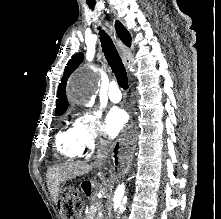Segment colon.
I'll return each mask as SVG.
<instances>
[{
    "instance_id": "5ec220e1",
    "label": "colon",
    "mask_w": 221,
    "mask_h": 219,
    "mask_svg": "<svg viewBox=\"0 0 221 219\" xmlns=\"http://www.w3.org/2000/svg\"><path fill=\"white\" fill-rule=\"evenodd\" d=\"M63 208L68 218H75L79 207V195L75 191H66L62 195Z\"/></svg>"
}]
</instances>
